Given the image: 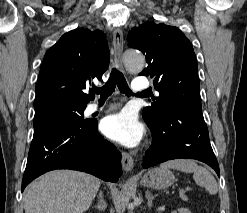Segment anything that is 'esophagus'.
Wrapping results in <instances>:
<instances>
[{"label": "esophagus", "mask_w": 247, "mask_h": 213, "mask_svg": "<svg viewBox=\"0 0 247 213\" xmlns=\"http://www.w3.org/2000/svg\"><path fill=\"white\" fill-rule=\"evenodd\" d=\"M123 33L120 29H115L113 31V45H114V61L116 67L123 71L122 65V52H123ZM134 160L132 156H130L126 152H122V167L126 172H130L133 168Z\"/></svg>", "instance_id": "esophagus-1"}]
</instances>
